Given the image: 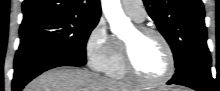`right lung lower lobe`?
Wrapping results in <instances>:
<instances>
[{
    "label": "right lung lower lobe",
    "mask_w": 220,
    "mask_h": 91,
    "mask_svg": "<svg viewBox=\"0 0 220 91\" xmlns=\"http://www.w3.org/2000/svg\"><path fill=\"white\" fill-rule=\"evenodd\" d=\"M86 58L55 47L18 49L14 61L12 90L23 87L42 72L59 66H82Z\"/></svg>",
    "instance_id": "right-lung-lower-lobe-1"
}]
</instances>
